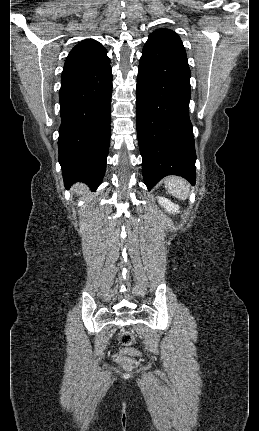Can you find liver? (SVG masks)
I'll use <instances>...</instances> for the list:
<instances>
[{
	"label": "liver",
	"instance_id": "obj_1",
	"mask_svg": "<svg viewBox=\"0 0 259 431\" xmlns=\"http://www.w3.org/2000/svg\"><path fill=\"white\" fill-rule=\"evenodd\" d=\"M83 186L82 185H77L76 187H75V192L77 193V194H82L83 193Z\"/></svg>",
	"mask_w": 259,
	"mask_h": 431
}]
</instances>
